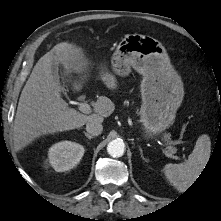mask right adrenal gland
Masks as SVG:
<instances>
[{"label": "right adrenal gland", "mask_w": 221, "mask_h": 221, "mask_svg": "<svg viewBox=\"0 0 221 221\" xmlns=\"http://www.w3.org/2000/svg\"><path fill=\"white\" fill-rule=\"evenodd\" d=\"M83 133L85 134V136H86L89 140L93 138V136L89 135L87 132L84 131Z\"/></svg>", "instance_id": "obj_1"}]
</instances>
